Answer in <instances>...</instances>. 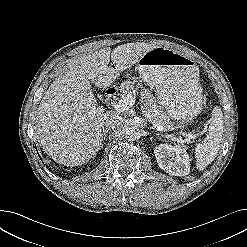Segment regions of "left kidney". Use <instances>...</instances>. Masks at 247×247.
<instances>
[{
	"label": "left kidney",
	"instance_id": "5707ae66",
	"mask_svg": "<svg viewBox=\"0 0 247 247\" xmlns=\"http://www.w3.org/2000/svg\"><path fill=\"white\" fill-rule=\"evenodd\" d=\"M159 167L169 175L186 176L190 172V159L185 150L167 144L155 147Z\"/></svg>",
	"mask_w": 247,
	"mask_h": 247
}]
</instances>
